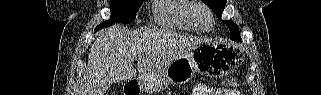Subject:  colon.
<instances>
[{"label":"colon","instance_id":"colon-1","mask_svg":"<svg viewBox=\"0 0 321 95\" xmlns=\"http://www.w3.org/2000/svg\"><path fill=\"white\" fill-rule=\"evenodd\" d=\"M224 84L228 87H237L239 85V81L236 78H227L225 79Z\"/></svg>","mask_w":321,"mask_h":95}]
</instances>
